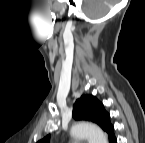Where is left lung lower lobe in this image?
I'll list each match as a JSON object with an SVG mask.
<instances>
[{
    "mask_svg": "<svg viewBox=\"0 0 145 143\" xmlns=\"http://www.w3.org/2000/svg\"><path fill=\"white\" fill-rule=\"evenodd\" d=\"M109 141H110V143H117V140L115 137L111 138Z\"/></svg>",
    "mask_w": 145,
    "mask_h": 143,
    "instance_id": "obj_1",
    "label": "left lung lower lobe"
}]
</instances>
